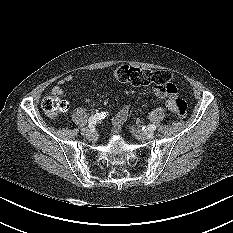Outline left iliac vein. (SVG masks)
Here are the masks:
<instances>
[{
  "label": "left iliac vein",
  "instance_id": "4c4485c4",
  "mask_svg": "<svg viewBox=\"0 0 233 233\" xmlns=\"http://www.w3.org/2000/svg\"><path fill=\"white\" fill-rule=\"evenodd\" d=\"M131 132L138 140H145V139H151L154 136V133L152 131L149 132H143L139 129L131 128Z\"/></svg>",
  "mask_w": 233,
  "mask_h": 233
}]
</instances>
